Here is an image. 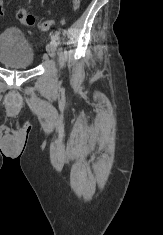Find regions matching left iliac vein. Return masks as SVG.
Instances as JSON below:
<instances>
[{"instance_id": "left-iliac-vein-1", "label": "left iliac vein", "mask_w": 163, "mask_h": 235, "mask_svg": "<svg viewBox=\"0 0 163 235\" xmlns=\"http://www.w3.org/2000/svg\"><path fill=\"white\" fill-rule=\"evenodd\" d=\"M46 49H47L48 55H49L50 57H54V55H55V50H56V46H55L52 42H50V43L47 45Z\"/></svg>"}]
</instances>
